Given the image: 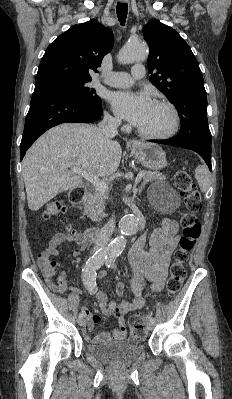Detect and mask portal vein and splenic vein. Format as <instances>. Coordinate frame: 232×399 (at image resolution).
<instances>
[{
    "mask_svg": "<svg viewBox=\"0 0 232 399\" xmlns=\"http://www.w3.org/2000/svg\"><path fill=\"white\" fill-rule=\"evenodd\" d=\"M70 172H72V174H82L83 178H85V180H89L96 190H100V192H104V194L105 192H108L107 184L102 182V180H99L98 176H91V174L82 172V170H70ZM145 174L146 172H139V174H137V178L135 180L136 184L137 182H140L141 178H143Z\"/></svg>",
    "mask_w": 232,
    "mask_h": 399,
    "instance_id": "18ae733b",
    "label": "portal vein and splenic vein"
}]
</instances>
